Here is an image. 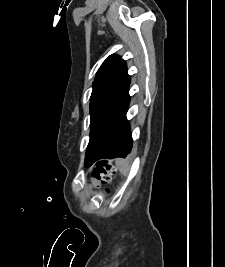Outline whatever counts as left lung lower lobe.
I'll use <instances>...</instances> for the list:
<instances>
[{
    "label": "left lung lower lobe",
    "instance_id": "left-lung-lower-lobe-1",
    "mask_svg": "<svg viewBox=\"0 0 225 267\" xmlns=\"http://www.w3.org/2000/svg\"><path fill=\"white\" fill-rule=\"evenodd\" d=\"M129 101L130 96L128 88L119 107L110 133L94 162L101 159H112L116 157L125 158L127 154L131 152L133 140L130 133V126L126 119Z\"/></svg>",
    "mask_w": 225,
    "mask_h": 267
}]
</instances>
